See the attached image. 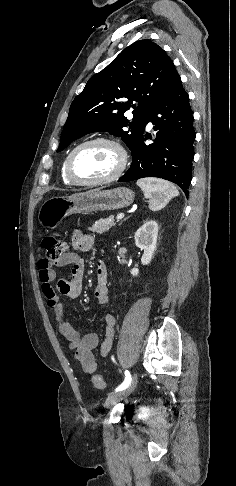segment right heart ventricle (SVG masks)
Masks as SVG:
<instances>
[{
	"label": "right heart ventricle",
	"instance_id": "obj_1",
	"mask_svg": "<svg viewBox=\"0 0 236 486\" xmlns=\"http://www.w3.org/2000/svg\"><path fill=\"white\" fill-rule=\"evenodd\" d=\"M67 158V157H66ZM65 162H66V159L64 160L63 164H62V167H61V177H62V181L67 184V185H72L73 183H71L69 181V179L67 178L66 174H65Z\"/></svg>",
	"mask_w": 236,
	"mask_h": 486
}]
</instances>
